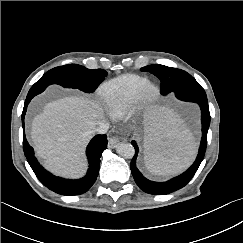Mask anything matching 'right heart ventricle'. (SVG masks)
I'll return each instance as SVG.
<instances>
[{
  "mask_svg": "<svg viewBox=\"0 0 243 243\" xmlns=\"http://www.w3.org/2000/svg\"><path fill=\"white\" fill-rule=\"evenodd\" d=\"M147 82V78L143 76L125 74L109 81L102 90V97L112 114L119 117Z\"/></svg>",
  "mask_w": 243,
  "mask_h": 243,
  "instance_id": "right-heart-ventricle-1",
  "label": "right heart ventricle"
}]
</instances>
